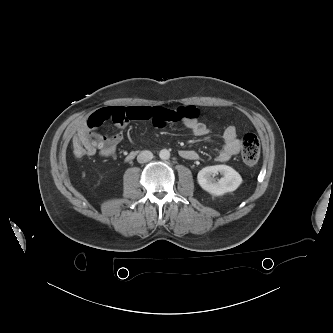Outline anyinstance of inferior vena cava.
<instances>
[{
	"instance_id": "inferior-vena-cava-1",
	"label": "inferior vena cava",
	"mask_w": 333,
	"mask_h": 333,
	"mask_svg": "<svg viewBox=\"0 0 333 333\" xmlns=\"http://www.w3.org/2000/svg\"><path fill=\"white\" fill-rule=\"evenodd\" d=\"M153 158V153L148 150L141 151L139 155L137 156V161L139 163H146Z\"/></svg>"
}]
</instances>
